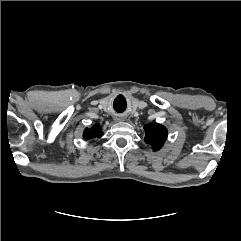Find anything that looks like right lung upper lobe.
Wrapping results in <instances>:
<instances>
[{"instance_id": "obj_1", "label": "right lung upper lobe", "mask_w": 241, "mask_h": 241, "mask_svg": "<svg viewBox=\"0 0 241 241\" xmlns=\"http://www.w3.org/2000/svg\"><path fill=\"white\" fill-rule=\"evenodd\" d=\"M96 136H102L101 127L99 125H94L91 129L86 128L83 133V137L87 140Z\"/></svg>"}]
</instances>
